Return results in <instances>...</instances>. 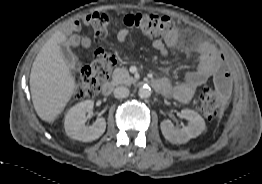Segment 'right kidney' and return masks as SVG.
<instances>
[{
    "instance_id": "obj_1",
    "label": "right kidney",
    "mask_w": 262,
    "mask_h": 184,
    "mask_svg": "<svg viewBox=\"0 0 262 184\" xmlns=\"http://www.w3.org/2000/svg\"><path fill=\"white\" fill-rule=\"evenodd\" d=\"M93 101L86 100L73 106L65 117L64 127L67 136L83 142L98 139L106 129L104 118H97L91 126L85 125L86 113L93 109Z\"/></svg>"
}]
</instances>
